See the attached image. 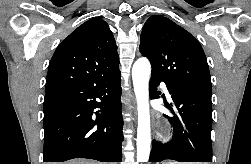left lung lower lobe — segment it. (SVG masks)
<instances>
[{"mask_svg": "<svg viewBox=\"0 0 251 164\" xmlns=\"http://www.w3.org/2000/svg\"><path fill=\"white\" fill-rule=\"evenodd\" d=\"M161 81L166 84L174 101L171 106L165 103L174 114L173 118H169L173 126V136L167 143L153 140L149 162L166 159L179 162H212L211 93L152 73L149 88L151 99L159 98L157 86Z\"/></svg>", "mask_w": 251, "mask_h": 164, "instance_id": "left-lung-lower-lobe-1", "label": "left lung lower lobe"}]
</instances>
